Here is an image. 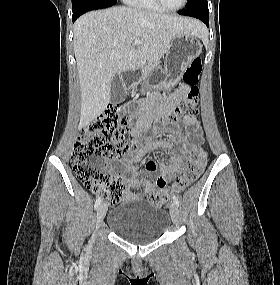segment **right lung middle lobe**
<instances>
[{"label":"right lung middle lobe","instance_id":"dd1d6c3e","mask_svg":"<svg viewBox=\"0 0 280 285\" xmlns=\"http://www.w3.org/2000/svg\"><path fill=\"white\" fill-rule=\"evenodd\" d=\"M117 0H72V11L77 12L82 9L100 5H115Z\"/></svg>","mask_w":280,"mask_h":285}]
</instances>
